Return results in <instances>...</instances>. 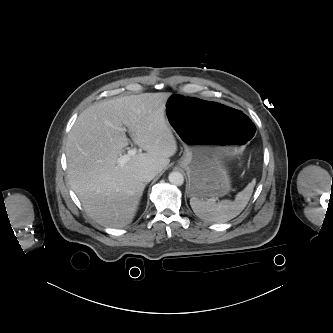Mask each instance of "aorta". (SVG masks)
I'll return each mask as SVG.
<instances>
[{
	"instance_id": "aorta-1",
	"label": "aorta",
	"mask_w": 333,
	"mask_h": 333,
	"mask_svg": "<svg viewBox=\"0 0 333 333\" xmlns=\"http://www.w3.org/2000/svg\"><path fill=\"white\" fill-rule=\"evenodd\" d=\"M169 181L176 185V186H181L184 183V177L180 172L173 171L169 174L168 176Z\"/></svg>"
}]
</instances>
